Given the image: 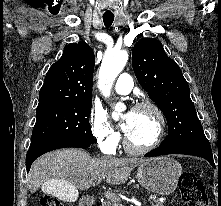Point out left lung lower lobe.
I'll use <instances>...</instances> for the list:
<instances>
[{"instance_id":"1","label":"left lung lower lobe","mask_w":221,"mask_h":206,"mask_svg":"<svg viewBox=\"0 0 221 206\" xmlns=\"http://www.w3.org/2000/svg\"><path fill=\"white\" fill-rule=\"evenodd\" d=\"M167 154H187L199 156L208 160L215 167L210 146L183 145V146H160L145 154L146 157H154Z\"/></svg>"}]
</instances>
